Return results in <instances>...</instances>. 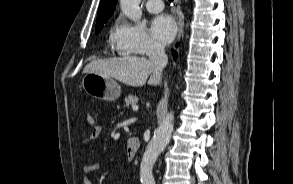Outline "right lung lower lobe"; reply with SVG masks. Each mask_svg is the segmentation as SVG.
Segmentation results:
<instances>
[{"label": "right lung lower lobe", "instance_id": "obj_1", "mask_svg": "<svg viewBox=\"0 0 293 184\" xmlns=\"http://www.w3.org/2000/svg\"><path fill=\"white\" fill-rule=\"evenodd\" d=\"M173 57H174V59L177 58V53L176 52L173 53Z\"/></svg>", "mask_w": 293, "mask_h": 184}]
</instances>
